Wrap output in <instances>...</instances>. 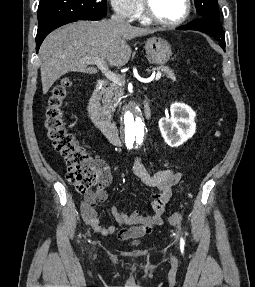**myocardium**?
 Returning a JSON list of instances; mask_svg holds the SVG:
<instances>
[{"instance_id": "1", "label": "myocardium", "mask_w": 255, "mask_h": 287, "mask_svg": "<svg viewBox=\"0 0 255 287\" xmlns=\"http://www.w3.org/2000/svg\"><path fill=\"white\" fill-rule=\"evenodd\" d=\"M150 33H159V32H150ZM165 33H173V32H165ZM151 39H171V38H151Z\"/></svg>"}]
</instances>
